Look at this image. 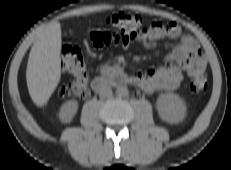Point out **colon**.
Segmentation results:
<instances>
[{
    "label": "colon",
    "mask_w": 231,
    "mask_h": 170,
    "mask_svg": "<svg viewBox=\"0 0 231 170\" xmlns=\"http://www.w3.org/2000/svg\"><path fill=\"white\" fill-rule=\"evenodd\" d=\"M105 25L122 35L136 37L143 30V21L140 16L126 12H115L105 20ZM62 70L71 77V80L61 87L59 96L67 99H82L88 95L87 63L82 52L74 46L67 45L62 50ZM207 75L204 71L198 72L191 84L190 90L197 94L206 90Z\"/></svg>",
    "instance_id": "colon-1"
}]
</instances>
